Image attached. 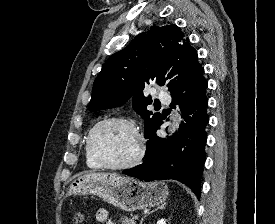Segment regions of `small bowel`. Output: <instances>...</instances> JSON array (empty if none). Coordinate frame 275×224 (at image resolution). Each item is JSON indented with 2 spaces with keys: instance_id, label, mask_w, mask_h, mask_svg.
<instances>
[{
  "instance_id": "obj_1",
  "label": "small bowel",
  "mask_w": 275,
  "mask_h": 224,
  "mask_svg": "<svg viewBox=\"0 0 275 224\" xmlns=\"http://www.w3.org/2000/svg\"><path fill=\"white\" fill-rule=\"evenodd\" d=\"M96 220L101 224H115L109 217L108 210L100 208L95 213Z\"/></svg>"
}]
</instances>
